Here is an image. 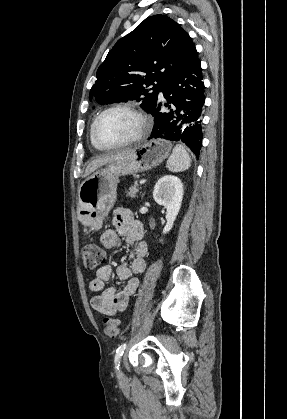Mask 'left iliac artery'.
<instances>
[{
    "label": "left iliac artery",
    "mask_w": 287,
    "mask_h": 419,
    "mask_svg": "<svg viewBox=\"0 0 287 419\" xmlns=\"http://www.w3.org/2000/svg\"><path fill=\"white\" fill-rule=\"evenodd\" d=\"M125 348H126V344H122L116 350V354H115V367L117 369H119V360H120L121 356L123 355Z\"/></svg>",
    "instance_id": "obj_1"
}]
</instances>
